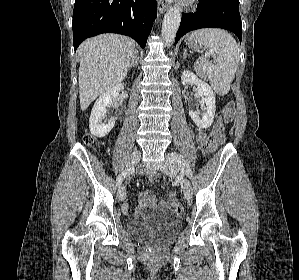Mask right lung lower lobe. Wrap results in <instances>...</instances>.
Returning <instances> with one entry per match:
<instances>
[{
	"label": "right lung lower lobe",
	"instance_id": "98d812e1",
	"mask_svg": "<svg viewBox=\"0 0 299 280\" xmlns=\"http://www.w3.org/2000/svg\"><path fill=\"white\" fill-rule=\"evenodd\" d=\"M156 15V0H75L74 50L86 38L101 33L130 36L145 48Z\"/></svg>",
	"mask_w": 299,
	"mask_h": 280
}]
</instances>
